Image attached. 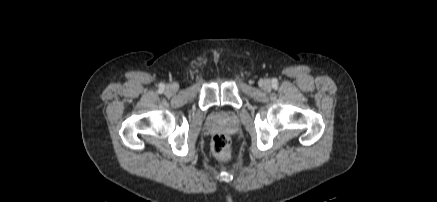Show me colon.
Returning a JSON list of instances; mask_svg holds the SVG:
<instances>
[{
	"mask_svg": "<svg viewBox=\"0 0 437 202\" xmlns=\"http://www.w3.org/2000/svg\"><path fill=\"white\" fill-rule=\"evenodd\" d=\"M212 152L214 156L220 161H227L231 158V140L224 133H218L212 140Z\"/></svg>",
	"mask_w": 437,
	"mask_h": 202,
	"instance_id": "1",
	"label": "colon"
}]
</instances>
